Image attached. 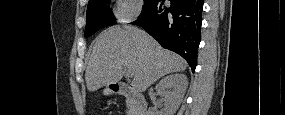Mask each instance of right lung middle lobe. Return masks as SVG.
Listing matches in <instances>:
<instances>
[{"mask_svg": "<svg viewBox=\"0 0 285 115\" xmlns=\"http://www.w3.org/2000/svg\"><path fill=\"white\" fill-rule=\"evenodd\" d=\"M152 2L153 0H145L143 7L149 6ZM109 5L110 0H89L86 12L85 37L116 23Z\"/></svg>", "mask_w": 285, "mask_h": 115, "instance_id": "dd1d6c3e", "label": "right lung middle lobe"}]
</instances>
